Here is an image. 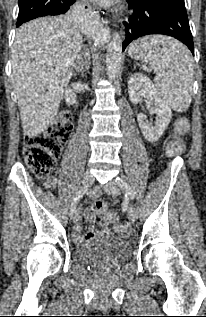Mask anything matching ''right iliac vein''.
Returning a JSON list of instances; mask_svg holds the SVG:
<instances>
[{
    "label": "right iliac vein",
    "instance_id": "right-iliac-vein-1",
    "mask_svg": "<svg viewBox=\"0 0 206 317\" xmlns=\"http://www.w3.org/2000/svg\"><path fill=\"white\" fill-rule=\"evenodd\" d=\"M93 180H94L93 176L89 172H86L83 176V181H82L83 187L88 188L93 183ZM79 216H80V210L76 209L71 215L72 222L75 223L79 219Z\"/></svg>",
    "mask_w": 206,
    "mask_h": 317
}]
</instances>
